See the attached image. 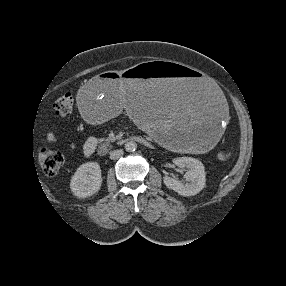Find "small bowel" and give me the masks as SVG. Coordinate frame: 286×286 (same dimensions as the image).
Listing matches in <instances>:
<instances>
[{"label": "small bowel", "instance_id": "1", "mask_svg": "<svg viewBox=\"0 0 286 286\" xmlns=\"http://www.w3.org/2000/svg\"><path fill=\"white\" fill-rule=\"evenodd\" d=\"M48 140L50 142H54L55 141V135L53 133H49L48 134ZM70 147L72 149L77 147L76 142H71ZM97 147V139L95 137H88L82 144L81 149H82V153L84 154V156L89 157L91 156ZM222 156H225V154H223Z\"/></svg>", "mask_w": 286, "mask_h": 286}]
</instances>
